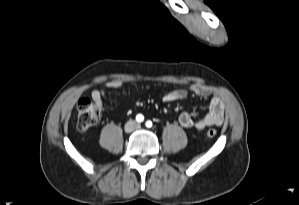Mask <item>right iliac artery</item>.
<instances>
[{
	"label": "right iliac artery",
	"instance_id": "82829eb1",
	"mask_svg": "<svg viewBox=\"0 0 299 205\" xmlns=\"http://www.w3.org/2000/svg\"><path fill=\"white\" fill-rule=\"evenodd\" d=\"M143 120H144L143 115L138 114V115L136 116V121H138V122H142Z\"/></svg>",
	"mask_w": 299,
	"mask_h": 205
}]
</instances>
